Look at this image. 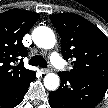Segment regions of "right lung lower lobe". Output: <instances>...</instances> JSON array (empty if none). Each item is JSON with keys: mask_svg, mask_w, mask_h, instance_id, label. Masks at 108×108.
Here are the masks:
<instances>
[{"mask_svg": "<svg viewBox=\"0 0 108 108\" xmlns=\"http://www.w3.org/2000/svg\"><path fill=\"white\" fill-rule=\"evenodd\" d=\"M36 78V73L33 72L27 79L22 82L7 88L0 89V108H14L24 98L30 83Z\"/></svg>", "mask_w": 108, "mask_h": 108, "instance_id": "1", "label": "right lung lower lobe"}]
</instances>
